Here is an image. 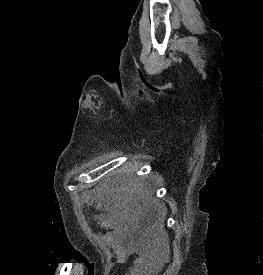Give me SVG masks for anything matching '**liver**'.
Instances as JSON below:
<instances>
[{"mask_svg": "<svg viewBox=\"0 0 263 275\" xmlns=\"http://www.w3.org/2000/svg\"><path fill=\"white\" fill-rule=\"evenodd\" d=\"M129 191L130 190L128 187L112 186L111 188H109L107 185H104L103 187L97 189V191L95 192V196L98 200L105 203L106 207H110L111 205V209H114L119 214L122 213L123 221H132L137 218L136 212L139 211L140 208H134L131 204H128ZM151 206H153L159 214L165 216L166 208L164 207V205L151 202Z\"/></svg>", "mask_w": 263, "mask_h": 275, "instance_id": "6515ba94", "label": "liver"}]
</instances>
